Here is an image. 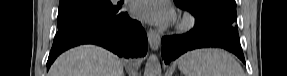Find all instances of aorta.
I'll use <instances>...</instances> for the list:
<instances>
[{
	"mask_svg": "<svg viewBox=\"0 0 287 76\" xmlns=\"http://www.w3.org/2000/svg\"><path fill=\"white\" fill-rule=\"evenodd\" d=\"M144 76H161V64L155 54H151L146 62Z\"/></svg>",
	"mask_w": 287,
	"mask_h": 76,
	"instance_id": "762f6f07",
	"label": "aorta"
}]
</instances>
